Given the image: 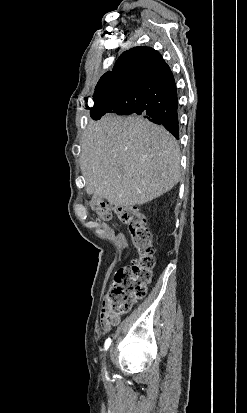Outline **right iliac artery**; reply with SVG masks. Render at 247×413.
<instances>
[{
    "mask_svg": "<svg viewBox=\"0 0 247 413\" xmlns=\"http://www.w3.org/2000/svg\"><path fill=\"white\" fill-rule=\"evenodd\" d=\"M110 344H111V339L110 338L106 339L105 344H104L105 350L109 348Z\"/></svg>",
    "mask_w": 247,
    "mask_h": 413,
    "instance_id": "obj_1",
    "label": "right iliac artery"
}]
</instances>
